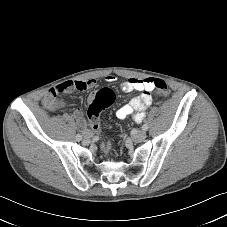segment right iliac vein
I'll list each match as a JSON object with an SVG mask.
<instances>
[{
	"label": "right iliac vein",
	"mask_w": 227,
	"mask_h": 227,
	"mask_svg": "<svg viewBox=\"0 0 227 227\" xmlns=\"http://www.w3.org/2000/svg\"><path fill=\"white\" fill-rule=\"evenodd\" d=\"M92 137V133L90 131L85 132V138L90 139Z\"/></svg>",
	"instance_id": "right-iliac-vein-1"
}]
</instances>
